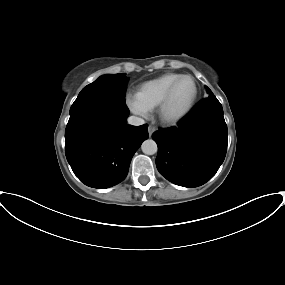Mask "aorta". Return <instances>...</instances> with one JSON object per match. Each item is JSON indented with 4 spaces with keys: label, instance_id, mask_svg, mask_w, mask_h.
I'll return each mask as SVG.
<instances>
[{
    "label": "aorta",
    "instance_id": "obj_1",
    "mask_svg": "<svg viewBox=\"0 0 285 285\" xmlns=\"http://www.w3.org/2000/svg\"><path fill=\"white\" fill-rule=\"evenodd\" d=\"M142 152L147 155H153L157 152L158 147L154 140H145L141 145Z\"/></svg>",
    "mask_w": 285,
    "mask_h": 285
}]
</instances>
